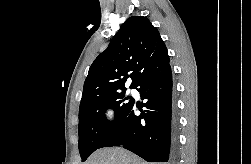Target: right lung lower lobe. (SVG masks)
I'll return each mask as SVG.
<instances>
[{"instance_id":"right-lung-lower-lobe-1","label":"right lung lower lobe","mask_w":251,"mask_h":164,"mask_svg":"<svg viewBox=\"0 0 251 164\" xmlns=\"http://www.w3.org/2000/svg\"><path fill=\"white\" fill-rule=\"evenodd\" d=\"M147 108L139 116L136 106L103 140L99 148L123 146L147 162L175 163L177 159V122L172 111V73L170 64L146 75L138 84Z\"/></svg>"}]
</instances>
